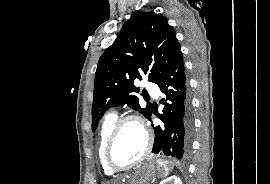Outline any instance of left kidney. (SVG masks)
I'll list each match as a JSON object with an SVG mask.
<instances>
[{
  "mask_svg": "<svg viewBox=\"0 0 270 184\" xmlns=\"http://www.w3.org/2000/svg\"><path fill=\"white\" fill-rule=\"evenodd\" d=\"M160 184H182V181L179 177L173 175L161 181Z\"/></svg>",
  "mask_w": 270,
  "mask_h": 184,
  "instance_id": "obj_1",
  "label": "left kidney"
}]
</instances>
